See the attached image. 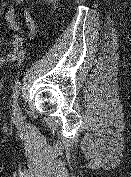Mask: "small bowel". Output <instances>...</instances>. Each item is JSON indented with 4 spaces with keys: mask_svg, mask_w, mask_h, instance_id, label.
<instances>
[{
    "mask_svg": "<svg viewBox=\"0 0 131 177\" xmlns=\"http://www.w3.org/2000/svg\"><path fill=\"white\" fill-rule=\"evenodd\" d=\"M15 7L22 8L25 24L28 29V34L30 37L34 36L36 31V25L33 16L25 7V0H12V5L8 8L5 18L9 26V32L11 35V44L13 51L6 56L0 55V66L3 65L5 61L19 60L23 58L24 51L23 38L19 34V24L16 21V11Z\"/></svg>",
    "mask_w": 131,
    "mask_h": 177,
    "instance_id": "c3829d8e",
    "label": "small bowel"
}]
</instances>
